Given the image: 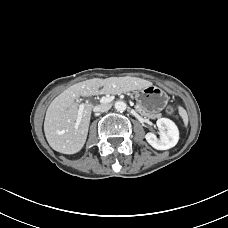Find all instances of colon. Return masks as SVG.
Returning a JSON list of instances; mask_svg holds the SVG:
<instances>
[{
    "instance_id": "1",
    "label": "colon",
    "mask_w": 228,
    "mask_h": 228,
    "mask_svg": "<svg viewBox=\"0 0 228 228\" xmlns=\"http://www.w3.org/2000/svg\"><path fill=\"white\" fill-rule=\"evenodd\" d=\"M169 111H170V112H173V111H174V107H172V106L169 107Z\"/></svg>"
}]
</instances>
